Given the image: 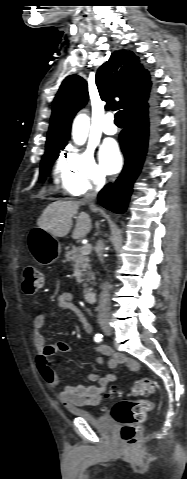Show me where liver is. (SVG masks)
Instances as JSON below:
<instances>
[{"label":"liver","instance_id":"obj_1","mask_svg":"<svg viewBox=\"0 0 187 479\" xmlns=\"http://www.w3.org/2000/svg\"><path fill=\"white\" fill-rule=\"evenodd\" d=\"M81 204L80 201H56L49 204L37 221L38 227L54 237L66 236L72 228V217L77 214ZM91 228L90 216L85 212L79 213L72 238H84Z\"/></svg>","mask_w":187,"mask_h":479}]
</instances>
